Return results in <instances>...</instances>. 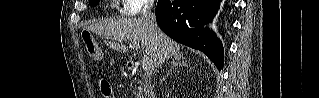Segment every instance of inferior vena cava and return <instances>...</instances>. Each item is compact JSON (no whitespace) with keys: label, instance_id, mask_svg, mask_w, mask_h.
Listing matches in <instances>:
<instances>
[{"label":"inferior vena cava","instance_id":"inferior-vena-cava-1","mask_svg":"<svg viewBox=\"0 0 319 98\" xmlns=\"http://www.w3.org/2000/svg\"><path fill=\"white\" fill-rule=\"evenodd\" d=\"M152 8H153V1L150 0L144 4L142 19L145 22L149 31L154 32L157 28V25H156L155 14L151 11Z\"/></svg>","mask_w":319,"mask_h":98}]
</instances>
